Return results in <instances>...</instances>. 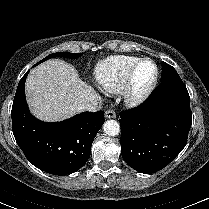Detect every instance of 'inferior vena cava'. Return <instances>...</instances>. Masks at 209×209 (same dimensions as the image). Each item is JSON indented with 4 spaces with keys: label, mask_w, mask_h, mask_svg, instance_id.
<instances>
[{
    "label": "inferior vena cava",
    "mask_w": 209,
    "mask_h": 209,
    "mask_svg": "<svg viewBox=\"0 0 209 209\" xmlns=\"http://www.w3.org/2000/svg\"><path fill=\"white\" fill-rule=\"evenodd\" d=\"M101 105L100 96L96 95L88 102H84L78 106L79 111L96 112Z\"/></svg>",
    "instance_id": "1"
}]
</instances>
